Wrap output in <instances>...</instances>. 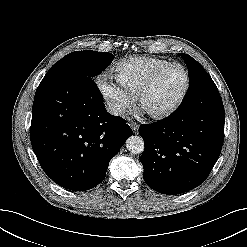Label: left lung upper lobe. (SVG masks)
Returning <instances> with one entry per match:
<instances>
[{
  "instance_id": "1",
  "label": "left lung upper lobe",
  "mask_w": 247,
  "mask_h": 247,
  "mask_svg": "<svg viewBox=\"0 0 247 247\" xmlns=\"http://www.w3.org/2000/svg\"><path fill=\"white\" fill-rule=\"evenodd\" d=\"M182 58L186 61L189 74V88L183 99V103H192L195 100V90L193 89L195 85L199 82L212 80L211 77L207 74L204 68L191 56L182 53ZM213 81V80H212Z\"/></svg>"
}]
</instances>
